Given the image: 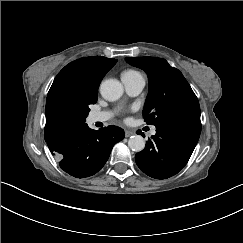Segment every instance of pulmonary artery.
<instances>
[{
  "label": "pulmonary artery",
  "instance_id": "obj_1",
  "mask_svg": "<svg viewBox=\"0 0 243 243\" xmlns=\"http://www.w3.org/2000/svg\"><path fill=\"white\" fill-rule=\"evenodd\" d=\"M125 89L127 93L131 96H135L139 94L144 86H145V79L142 77L141 79L137 80L136 82L125 83ZM112 117V113L108 111H101L91 114V123H99V122H106ZM156 130L153 128L150 132L151 135H155Z\"/></svg>",
  "mask_w": 243,
  "mask_h": 243
}]
</instances>
